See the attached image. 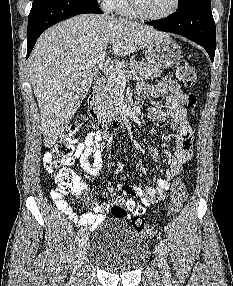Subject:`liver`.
Returning a JSON list of instances; mask_svg holds the SVG:
<instances>
[{
    "label": "liver",
    "mask_w": 233,
    "mask_h": 286,
    "mask_svg": "<svg viewBox=\"0 0 233 286\" xmlns=\"http://www.w3.org/2000/svg\"><path fill=\"white\" fill-rule=\"evenodd\" d=\"M166 36L137 22L97 14L78 15L45 31L28 59L45 146L57 142L92 85L94 74L82 65L97 58L109 44L110 52L124 56Z\"/></svg>",
    "instance_id": "6515ba94"
}]
</instances>
